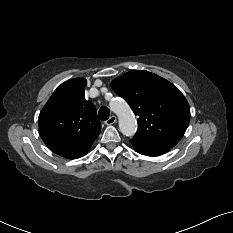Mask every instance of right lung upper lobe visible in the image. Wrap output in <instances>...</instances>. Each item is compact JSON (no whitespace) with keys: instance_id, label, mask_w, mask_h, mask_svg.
<instances>
[{"instance_id":"cb5924a9","label":"right lung upper lobe","mask_w":233,"mask_h":233,"mask_svg":"<svg viewBox=\"0 0 233 233\" xmlns=\"http://www.w3.org/2000/svg\"><path fill=\"white\" fill-rule=\"evenodd\" d=\"M86 85L84 78L62 83L40 112L39 132L52 151L90 146L100 134L96 108L85 100Z\"/></svg>"}]
</instances>
